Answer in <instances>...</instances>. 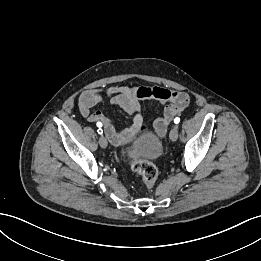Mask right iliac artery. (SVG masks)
I'll use <instances>...</instances> for the list:
<instances>
[{
	"instance_id": "1",
	"label": "right iliac artery",
	"mask_w": 261,
	"mask_h": 261,
	"mask_svg": "<svg viewBox=\"0 0 261 261\" xmlns=\"http://www.w3.org/2000/svg\"><path fill=\"white\" fill-rule=\"evenodd\" d=\"M97 127H99V129L97 130L98 134H103V130L101 129L102 124L100 122L97 123Z\"/></svg>"
}]
</instances>
